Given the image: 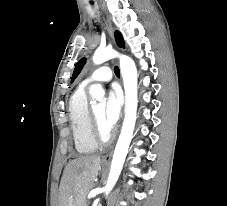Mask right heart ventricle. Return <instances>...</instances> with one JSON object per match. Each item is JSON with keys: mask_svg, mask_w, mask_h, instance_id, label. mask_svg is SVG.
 Here are the masks:
<instances>
[{"mask_svg": "<svg viewBox=\"0 0 227 206\" xmlns=\"http://www.w3.org/2000/svg\"><path fill=\"white\" fill-rule=\"evenodd\" d=\"M89 104L84 88L79 87L70 97L68 117L74 146L80 154H90L98 146L91 132Z\"/></svg>", "mask_w": 227, "mask_h": 206, "instance_id": "right-heart-ventricle-1", "label": "right heart ventricle"}]
</instances>
